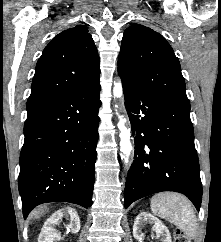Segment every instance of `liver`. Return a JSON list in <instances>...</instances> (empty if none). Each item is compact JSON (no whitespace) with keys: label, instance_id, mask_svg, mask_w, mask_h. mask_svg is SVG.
<instances>
[{"label":"liver","instance_id":"6515ba94","mask_svg":"<svg viewBox=\"0 0 221 242\" xmlns=\"http://www.w3.org/2000/svg\"><path fill=\"white\" fill-rule=\"evenodd\" d=\"M45 208L36 209L32 212V217L34 219L40 218L45 213Z\"/></svg>","mask_w":221,"mask_h":242}]
</instances>
